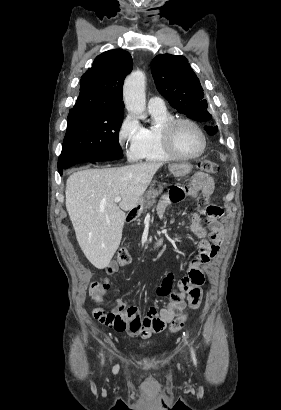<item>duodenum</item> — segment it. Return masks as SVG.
<instances>
[{
    "instance_id": "1",
    "label": "duodenum",
    "mask_w": 281,
    "mask_h": 410,
    "mask_svg": "<svg viewBox=\"0 0 281 410\" xmlns=\"http://www.w3.org/2000/svg\"><path fill=\"white\" fill-rule=\"evenodd\" d=\"M135 217H136L135 211H134V210H130V211L128 212V214H127L126 219H127V221H132V220L135 219Z\"/></svg>"
}]
</instances>
